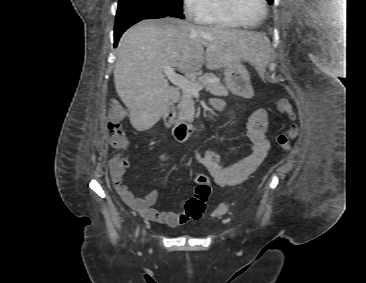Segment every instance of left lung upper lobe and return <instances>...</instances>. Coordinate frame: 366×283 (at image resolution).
<instances>
[{"label": "left lung upper lobe", "instance_id": "obj_1", "mask_svg": "<svg viewBox=\"0 0 366 283\" xmlns=\"http://www.w3.org/2000/svg\"><path fill=\"white\" fill-rule=\"evenodd\" d=\"M269 4H273V0H267Z\"/></svg>", "mask_w": 366, "mask_h": 283}]
</instances>
